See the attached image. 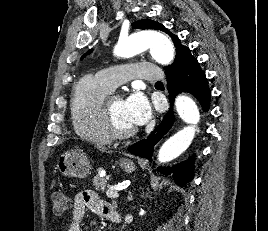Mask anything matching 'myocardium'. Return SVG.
Returning <instances> with one entry per match:
<instances>
[{
	"label": "myocardium",
	"mask_w": 268,
	"mask_h": 231,
	"mask_svg": "<svg viewBox=\"0 0 268 231\" xmlns=\"http://www.w3.org/2000/svg\"><path fill=\"white\" fill-rule=\"evenodd\" d=\"M116 99H122L121 95L117 93H110L103 102V119L106 131L114 139H126L137 134V128L131 130L121 129L113 115V103Z\"/></svg>",
	"instance_id": "1"
}]
</instances>
